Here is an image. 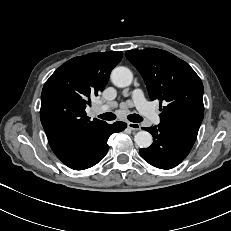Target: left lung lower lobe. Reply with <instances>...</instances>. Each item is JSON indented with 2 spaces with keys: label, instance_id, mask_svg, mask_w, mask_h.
<instances>
[{
  "label": "left lung lower lobe",
  "instance_id": "0a47b994",
  "mask_svg": "<svg viewBox=\"0 0 231 231\" xmlns=\"http://www.w3.org/2000/svg\"><path fill=\"white\" fill-rule=\"evenodd\" d=\"M143 129L152 134L153 143L146 149H140V154L145 161L160 169L176 167L186 158L194 144L161 124Z\"/></svg>",
  "mask_w": 231,
  "mask_h": 231
}]
</instances>
